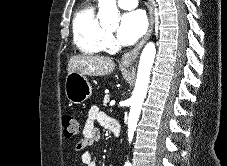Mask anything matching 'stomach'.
Listing matches in <instances>:
<instances>
[{
    "instance_id": "stomach-1",
    "label": "stomach",
    "mask_w": 227,
    "mask_h": 166,
    "mask_svg": "<svg viewBox=\"0 0 227 166\" xmlns=\"http://www.w3.org/2000/svg\"><path fill=\"white\" fill-rule=\"evenodd\" d=\"M65 94L71 103L81 104L92 95V87L85 75L73 71L66 76Z\"/></svg>"
}]
</instances>
